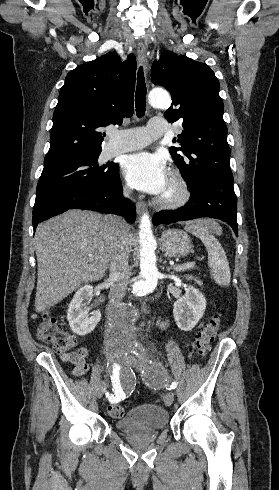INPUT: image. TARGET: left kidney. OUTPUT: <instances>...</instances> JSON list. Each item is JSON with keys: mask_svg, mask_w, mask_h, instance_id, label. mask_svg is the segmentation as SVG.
Returning a JSON list of instances; mask_svg holds the SVG:
<instances>
[{"mask_svg": "<svg viewBox=\"0 0 279 490\" xmlns=\"http://www.w3.org/2000/svg\"><path fill=\"white\" fill-rule=\"evenodd\" d=\"M206 300L196 288L188 286L183 298L174 302L173 316L176 326L183 332H191L204 316Z\"/></svg>", "mask_w": 279, "mask_h": 490, "instance_id": "1", "label": "left kidney"}]
</instances>
